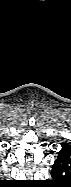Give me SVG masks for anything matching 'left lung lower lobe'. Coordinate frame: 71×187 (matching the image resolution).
I'll use <instances>...</instances> for the list:
<instances>
[{"instance_id":"obj_1","label":"left lung lower lobe","mask_w":71,"mask_h":187,"mask_svg":"<svg viewBox=\"0 0 71 187\" xmlns=\"http://www.w3.org/2000/svg\"><path fill=\"white\" fill-rule=\"evenodd\" d=\"M51 175L55 182H68L71 178V146L63 145L53 164Z\"/></svg>"}]
</instances>
